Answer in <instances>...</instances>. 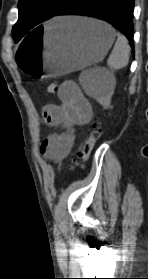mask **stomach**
Returning <instances> with one entry per match:
<instances>
[{"instance_id": "stomach-1", "label": "stomach", "mask_w": 148, "mask_h": 279, "mask_svg": "<svg viewBox=\"0 0 148 279\" xmlns=\"http://www.w3.org/2000/svg\"><path fill=\"white\" fill-rule=\"evenodd\" d=\"M35 28L16 49V72L24 82H45L96 64L115 39L108 24L81 17L57 18Z\"/></svg>"}]
</instances>
